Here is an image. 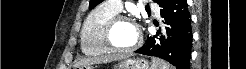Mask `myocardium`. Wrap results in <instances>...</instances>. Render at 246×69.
<instances>
[{
    "instance_id": "myocardium-1",
    "label": "myocardium",
    "mask_w": 246,
    "mask_h": 69,
    "mask_svg": "<svg viewBox=\"0 0 246 69\" xmlns=\"http://www.w3.org/2000/svg\"><path fill=\"white\" fill-rule=\"evenodd\" d=\"M122 21H130L133 23V20L127 16V15H124V14H116L114 15L112 18L109 19L106 27H105V31H104V41H105V44L106 46L112 51V52H116V53H121V52H126V51H133L135 49H137L141 43H142V35L141 33L137 30L138 32V37H137V40L136 42L131 45L130 47H126V48H120V47H117L113 44L112 40H111V37H112V33L116 27V25L119 23V22H122Z\"/></svg>"
}]
</instances>
